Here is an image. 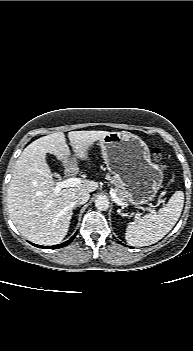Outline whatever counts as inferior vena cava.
<instances>
[{
  "instance_id": "obj_1",
  "label": "inferior vena cava",
  "mask_w": 193,
  "mask_h": 351,
  "mask_svg": "<svg viewBox=\"0 0 193 351\" xmlns=\"http://www.w3.org/2000/svg\"><path fill=\"white\" fill-rule=\"evenodd\" d=\"M89 198H90L89 192H87V191H80L75 196L74 203L77 204V205H82V204H85L89 200Z\"/></svg>"
}]
</instances>
